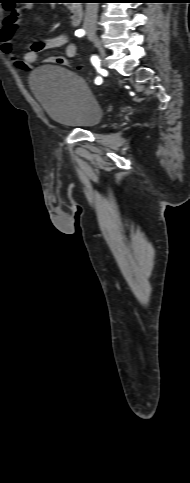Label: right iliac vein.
<instances>
[{"label": "right iliac vein", "instance_id": "obj_1", "mask_svg": "<svg viewBox=\"0 0 190 483\" xmlns=\"http://www.w3.org/2000/svg\"><path fill=\"white\" fill-rule=\"evenodd\" d=\"M88 35L90 37L91 40L94 41V43L96 44L98 50H99V53H100V56L103 60V62H105L104 58H105V51H104V48L102 47L101 45V42L99 41L97 35H96V32L94 30H89L88 31Z\"/></svg>", "mask_w": 190, "mask_h": 483}]
</instances>
